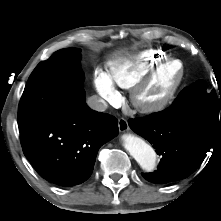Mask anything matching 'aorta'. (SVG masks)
I'll list each match as a JSON object with an SVG mask.
<instances>
[{
  "label": "aorta",
  "mask_w": 221,
  "mask_h": 221,
  "mask_svg": "<svg viewBox=\"0 0 221 221\" xmlns=\"http://www.w3.org/2000/svg\"><path fill=\"white\" fill-rule=\"evenodd\" d=\"M122 140L124 148L142 169L151 171L155 167L156 153L150 145L133 134H124Z\"/></svg>",
  "instance_id": "1"
}]
</instances>
